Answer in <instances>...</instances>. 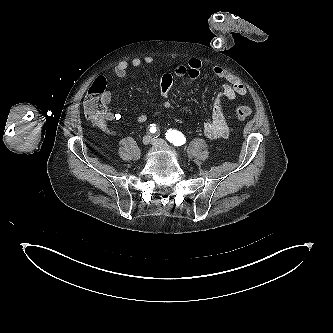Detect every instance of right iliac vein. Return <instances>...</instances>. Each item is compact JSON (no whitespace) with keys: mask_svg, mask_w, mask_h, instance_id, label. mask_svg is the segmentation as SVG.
<instances>
[{"mask_svg":"<svg viewBox=\"0 0 333 333\" xmlns=\"http://www.w3.org/2000/svg\"><path fill=\"white\" fill-rule=\"evenodd\" d=\"M142 142L144 145H148L152 140L150 139V136H144Z\"/></svg>","mask_w":333,"mask_h":333,"instance_id":"right-iliac-vein-1","label":"right iliac vein"}]
</instances>
